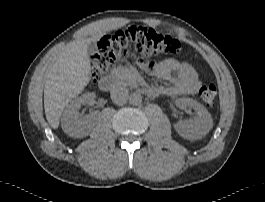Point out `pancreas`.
I'll return each mask as SVG.
<instances>
[{"instance_id":"1","label":"pancreas","mask_w":265,"mask_h":202,"mask_svg":"<svg viewBox=\"0 0 265 202\" xmlns=\"http://www.w3.org/2000/svg\"><path fill=\"white\" fill-rule=\"evenodd\" d=\"M113 75L122 85L125 86L137 85L136 72L133 71L132 69L118 66L113 70Z\"/></svg>"}]
</instances>
